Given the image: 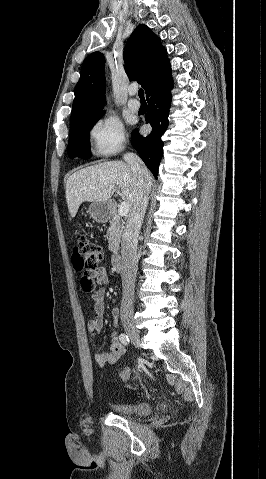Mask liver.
<instances>
[{
  "label": "liver",
  "mask_w": 266,
  "mask_h": 479,
  "mask_svg": "<svg viewBox=\"0 0 266 479\" xmlns=\"http://www.w3.org/2000/svg\"><path fill=\"white\" fill-rule=\"evenodd\" d=\"M117 188L121 189L122 199L129 204L131 210L136 188L135 177L127 163L107 161L76 171L66 183V202L70 216H76L84 201L108 202Z\"/></svg>",
  "instance_id": "1"
}]
</instances>
